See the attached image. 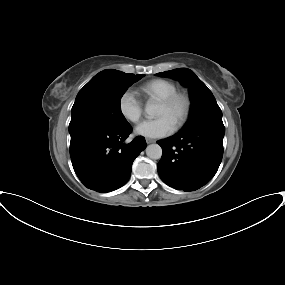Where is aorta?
Instances as JSON below:
<instances>
[{
	"label": "aorta",
	"instance_id": "1",
	"mask_svg": "<svg viewBox=\"0 0 285 285\" xmlns=\"http://www.w3.org/2000/svg\"><path fill=\"white\" fill-rule=\"evenodd\" d=\"M145 112L150 117H154L157 114V105L148 102L145 107ZM146 155L151 159H160L162 156V148L158 144H150L146 148Z\"/></svg>",
	"mask_w": 285,
	"mask_h": 285
}]
</instances>
